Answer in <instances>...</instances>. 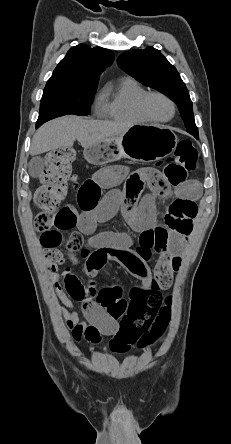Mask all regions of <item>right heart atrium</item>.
Here are the masks:
<instances>
[{
    "mask_svg": "<svg viewBox=\"0 0 231 444\" xmlns=\"http://www.w3.org/2000/svg\"><path fill=\"white\" fill-rule=\"evenodd\" d=\"M94 108H95V112L97 114H102L104 112L105 109V97L103 92H100L94 102Z\"/></svg>",
    "mask_w": 231,
    "mask_h": 444,
    "instance_id": "d8ad5b80",
    "label": "right heart atrium"
}]
</instances>
